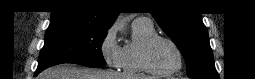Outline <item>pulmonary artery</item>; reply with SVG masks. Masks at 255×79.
Returning a JSON list of instances; mask_svg holds the SVG:
<instances>
[{"mask_svg":"<svg viewBox=\"0 0 255 79\" xmlns=\"http://www.w3.org/2000/svg\"><path fill=\"white\" fill-rule=\"evenodd\" d=\"M133 23L134 24H143V25H147V26L152 25L151 21L145 17H138L133 21Z\"/></svg>","mask_w":255,"mask_h":79,"instance_id":"obj_1","label":"pulmonary artery"}]
</instances>
